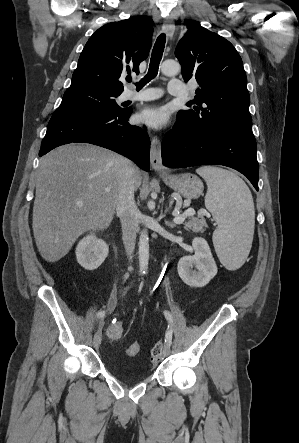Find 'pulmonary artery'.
<instances>
[{
  "instance_id": "obj_1",
  "label": "pulmonary artery",
  "mask_w": 299,
  "mask_h": 443,
  "mask_svg": "<svg viewBox=\"0 0 299 443\" xmlns=\"http://www.w3.org/2000/svg\"><path fill=\"white\" fill-rule=\"evenodd\" d=\"M168 92L174 96H180L185 93L184 84L178 79H171L168 83ZM161 91L157 88L146 89L141 92L126 91L123 95L125 100L130 101H149L160 97Z\"/></svg>"
}]
</instances>
